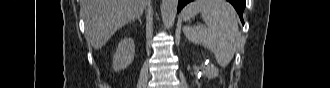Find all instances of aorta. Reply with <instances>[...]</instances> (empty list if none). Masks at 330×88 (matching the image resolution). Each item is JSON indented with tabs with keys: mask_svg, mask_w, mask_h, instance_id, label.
<instances>
[{
	"mask_svg": "<svg viewBox=\"0 0 330 88\" xmlns=\"http://www.w3.org/2000/svg\"><path fill=\"white\" fill-rule=\"evenodd\" d=\"M178 0H162L161 16L164 26L167 29L173 27L177 13Z\"/></svg>",
	"mask_w": 330,
	"mask_h": 88,
	"instance_id": "aorta-1",
	"label": "aorta"
}]
</instances>
